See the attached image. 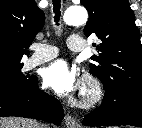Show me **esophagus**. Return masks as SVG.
<instances>
[{
  "label": "esophagus",
  "instance_id": "34e87169",
  "mask_svg": "<svg viewBox=\"0 0 142 128\" xmlns=\"http://www.w3.org/2000/svg\"><path fill=\"white\" fill-rule=\"evenodd\" d=\"M65 124L67 128H81L80 124L73 116L67 114L65 116Z\"/></svg>",
  "mask_w": 142,
  "mask_h": 128
}]
</instances>
